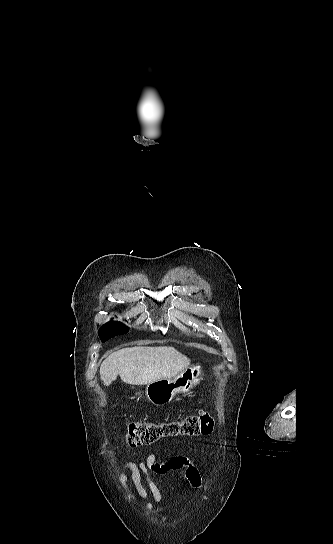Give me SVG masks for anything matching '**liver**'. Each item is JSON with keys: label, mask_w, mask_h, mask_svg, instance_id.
Instances as JSON below:
<instances>
[{"label": "liver", "mask_w": 333, "mask_h": 544, "mask_svg": "<svg viewBox=\"0 0 333 544\" xmlns=\"http://www.w3.org/2000/svg\"><path fill=\"white\" fill-rule=\"evenodd\" d=\"M190 359L174 347L136 346L111 353L100 366V378L109 386L119 375L131 385H146L163 378H174L185 370Z\"/></svg>", "instance_id": "liver-1"}]
</instances>
